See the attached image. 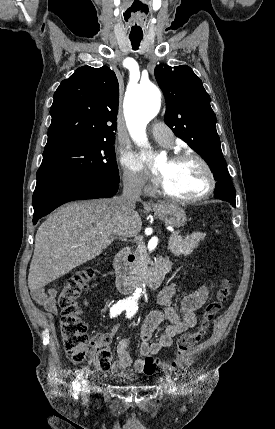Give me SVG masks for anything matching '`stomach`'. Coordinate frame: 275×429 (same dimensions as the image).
<instances>
[{
    "mask_svg": "<svg viewBox=\"0 0 275 429\" xmlns=\"http://www.w3.org/2000/svg\"><path fill=\"white\" fill-rule=\"evenodd\" d=\"M154 212L168 226L182 227L187 221L185 210L178 205L159 204L154 208Z\"/></svg>",
    "mask_w": 275,
    "mask_h": 429,
    "instance_id": "stomach-1",
    "label": "stomach"
}]
</instances>
